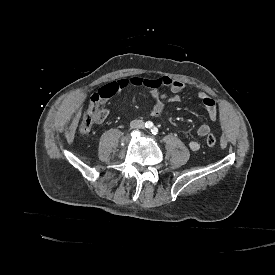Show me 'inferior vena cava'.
Here are the masks:
<instances>
[{
    "label": "inferior vena cava",
    "mask_w": 275,
    "mask_h": 275,
    "mask_svg": "<svg viewBox=\"0 0 275 275\" xmlns=\"http://www.w3.org/2000/svg\"><path fill=\"white\" fill-rule=\"evenodd\" d=\"M130 127L133 129H140L144 127V122L142 120H132L130 122Z\"/></svg>",
    "instance_id": "1"
}]
</instances>
